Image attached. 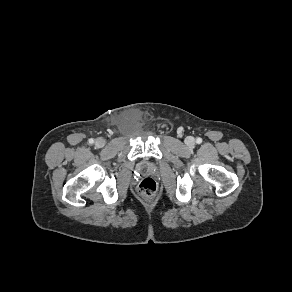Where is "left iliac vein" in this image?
Instances as JSON below:
<instances>
[{"label": "left iliac vein", "mask_w": 292, "mask_h": 292, "mask_svg": "<svg viewBox=\"0 0 292 292\" xmlns=\"http://www.w3.org/2000/svg\"><path fill=\"white\" fill-rule=\"evenodd\" d=\"M185 144L188 146H193L195 144V139L191 136L186 137Z\"/></svg>", "instance_id": "1"}]
</instances>
